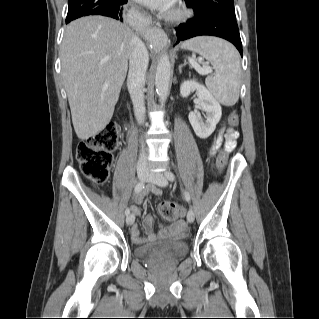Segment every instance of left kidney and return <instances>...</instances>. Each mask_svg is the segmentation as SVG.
<instances>
[{
  "label": "left kidney",
  "mask_w": 319,
  "mask_h": 319,
  "mask_svg": "<svg viewBox=\"0 0 319 319\" xmlns=\"http://www.w3.org/2000/svg\"><path fill=\"white\" fill-rule=\"evenodd\" d=\"M194 91H197L200 109L206 112V120H200L197 111L190 112L188 118L195 134L199 138L206 139L214 132L220 121L222 109L212 94L197 81L187 80L180 86V93L183 97L189 96Z\"/></svg>",
  "instance_id": "1"
}]
</instances>
